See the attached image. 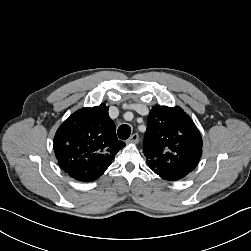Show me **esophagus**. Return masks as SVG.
Returning a JSON list of instances; mask_svg holds the SVG:
<instances>
[{"instance_id":"34e87169","label":"esophagus","mask_w":251,"mask_h":251,"mask_svg":"<svg viewBox=\"0 0 251 251\" xmlns=\"http://www.w3.org/2000/svg\"><path fill=\"white\" fill-rule=\"evenodd\" d=\"M138 141H139V135L137 133H134L126 140V143H137Z\"/></svg>"}]
</instances>
